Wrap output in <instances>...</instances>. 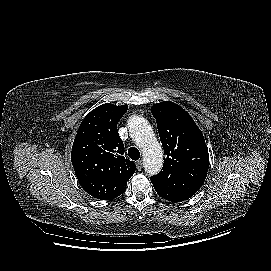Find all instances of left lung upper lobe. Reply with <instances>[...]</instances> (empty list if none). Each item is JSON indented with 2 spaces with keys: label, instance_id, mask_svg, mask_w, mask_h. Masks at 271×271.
I'll return each mask as SVG.
<instances>
[{
  "label": "left lung upper lobe",
  "instance_id": "5c2ea615",
  "mask_svg": "<svg viewBox=\"0 0 271 271\" xmlns=\"http://www.w3.org/2000/svg\"><path fill=\"white\" fill-rule=\"evenodd\" d=\"M151 113L167 155L162 170L150 178L152 184L163 185V180L177 174L201 187L209 166L208 149L201 130L191 116L173 102L157 103L151 107Z\"/></svg>",
  "mask_w": 271,
  "mask_h": 271
}]
</instances>
